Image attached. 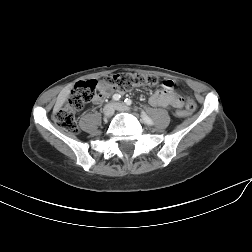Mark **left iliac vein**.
Listing matches in <instances>:
<instances>
[{
  "instance_id": "1",
  "label": "left iliac vein",
  "mask_w": 252,
  "mask_h": 252,
  "mask_svg": "<svg viewBox=\"0 0 252 252\" xmlns=\"http://www.w3.org/2000/svg\"><path fill=\"white\" fill-rule=\"evenodd\" d=\"M115 109L120 111V112H129L130 108L127 107L126 105L122 104V103H116L115 104Z\"/></svg>"
}]
</instances>
